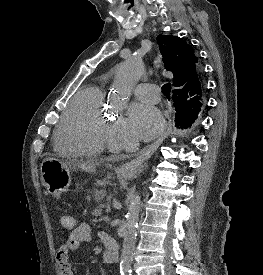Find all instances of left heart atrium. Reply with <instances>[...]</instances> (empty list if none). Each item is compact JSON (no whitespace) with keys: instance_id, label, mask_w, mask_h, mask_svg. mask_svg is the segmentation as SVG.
Masks as SVG:
<instances>
[{"instance_id":"1","label":"left heart atrium","mask_w":263,"mask_h":275,"mask_svg":"<svg viewBox=\"0 0 263 275\" xmlns=\"http://www.w3.org/2000/svg\"><path fill=\"white\" fill-rule=\"evenodd\" d=\"M163 128L164 120L156 107L145 103H134L130 106L127 130L131 136L149 140L158 135Z\"/></svg>"}]
</instances>
